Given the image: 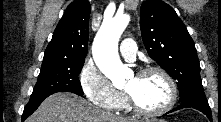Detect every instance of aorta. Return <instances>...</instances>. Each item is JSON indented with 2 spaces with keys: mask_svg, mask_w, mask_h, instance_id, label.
I'll return each instance as SVG.
<instances>
[{
  "mask_svg": "<svg viewBox=\"0 0 221 122\" xmlns=\"http://www.w3.org/2000/svg\"><path fill=\"white\" fill-rule=\"evenodd\" d=\"M129 21L130 17L127 14L116 15L111 20L104 21L93 41L94 61L115 87H122L128 74V69L119 58L117 46Z\"/></svg>",
  "mask_w": 221,
  "mask_h": 122,
  "instance_id": "1",
  "label": "aorta"
}]
</instances>
